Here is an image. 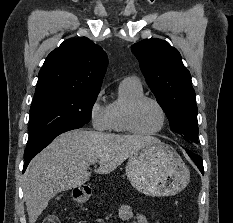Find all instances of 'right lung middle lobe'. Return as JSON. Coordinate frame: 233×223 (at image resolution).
<instances>
[{
  "mask_svg": "<svg viewBox=\"0 0 233 223\" xmlns=\"http://www.w3.org/2000/svg\"><path fill=\"white\" fill-rule=\"evenodd\" d=\"M98 93L48 92L34 96L25 156L46 146L63 130L87 124Z\"/></svg>",
  "mask_w": 233,
  "mask_h": 223,
  "instance_id": "obj_1",
  "label": "right lung middle lobe"
}]
</instances>
